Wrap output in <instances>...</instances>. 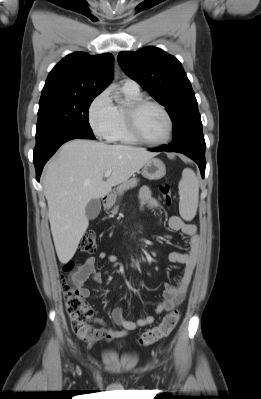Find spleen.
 I'll return each mask as SVG.
<instances>
[{"instance_id": "3e777b00", "label": "spleen", "mask_w": 261, "mask_h": 399, "mask_svg": "<svg viewBox=\"0 0 261 399\" xmlns=\"http://www.w3.org/2000/svg\"><path fill=\"white\" fill-rule=\"evenodd\" d=\"M179 212L181 217L190 221L197 212L199 199V182L196 174L191 169H184L179 182Z\"/></svg>"}]
</instances>
